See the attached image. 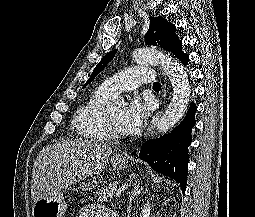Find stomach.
<instances>
[{"label": "stomach", "mask_w": 255, "mask_h": 217, "mask_svg": "<svg viewBox=\"0 0 255 217\" xmlns=\"http://www.w3.org/2000/svg\"><path fill=\"white\" fill-rule=\"evenodd\" d=\"M111 164L115 170H124L128 165L126 156L116 154L111 157ZM67 204L61 192L54 196H47L34 202L32 207L33 217H63Z\"/></svg>", "instance_id": "stomach-1"}]
</instances>
